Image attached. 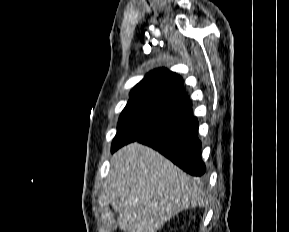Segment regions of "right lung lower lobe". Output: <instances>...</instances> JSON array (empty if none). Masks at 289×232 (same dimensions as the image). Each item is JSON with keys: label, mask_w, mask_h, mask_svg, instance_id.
<instances>
[{"label": "right lung lower lobe", "mask_w": 289, "mask_h": 232, "mask_svg": "<svg viewBox=\"0 0 289 232\" xmlns=\"http://www.w3.org/2000/svg\"><path fill=\"white\" fill-rule=\"evenodd\" d=\"M197 134L198 121L190 111L137 141L158 150L185 172L201 176L206 167L201 159V142Z\"/></svg>", "instance_id": "98d812e1"}]
</instances>
